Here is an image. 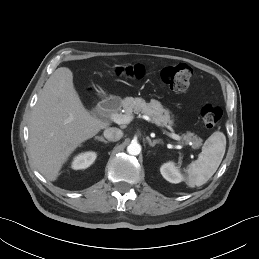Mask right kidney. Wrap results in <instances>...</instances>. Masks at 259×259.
Instances as JSON below:
<instances>
[{
	"label": "right kidney",
	"mask_w": 259,
	"mask_h": 259,
	"mask_svg": "<svg viewBox=\"0 0 259 259\" xmlns=\"http://www.w3.org/2000/svg\"><path fill=\"white\" fill-rule=\"evenodd\" d=\"M96 159L95 152L81 153L76 156L72 162V168L75 170L88 168Z\"/></svg>",
	"instance_id": "1"
}]
</instances>
